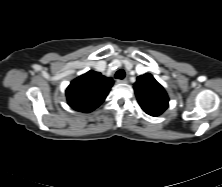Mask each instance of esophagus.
<instances>
[{
	"label": "esophagus",
	"mask_w": 222,
	"mask_h": 187,
	"mask_svg": "<svg viewBox=\"0 0 222 187\" xmlns=\"http://www.w3.org/2000/svg\"><path fill=\"white\" fill-rule=\"evenodd\" d=\"M117 83H127V79H118Z\"/></svg>",
	"instance_id": "1"
}]
</instances>
